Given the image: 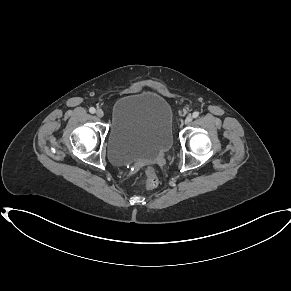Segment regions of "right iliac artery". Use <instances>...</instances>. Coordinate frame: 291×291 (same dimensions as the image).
<instances>
[{
    "label": "right iliac artery",
    "instance_id": "obj_1",
    "mask_svg": "<svg viewBox=\"0 0 291 291\" xmlns=\"http://www.w3.org/2000/svg\"><path fill=\"white\" fill-rule=\"evenodd\" d=\"M89 111H90V113H92V114H94V113L96 112V110H95L94 107H91V108L89 109Z\"/></svg>",
    "mask_w": 291,
    "mask_h": 291
}]
</instances>
